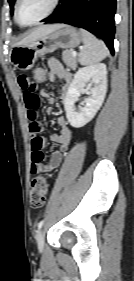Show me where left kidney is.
I'll return each instance as SVG.
<instances>
[{"instance_id":"left-kidney-1","label":"left kidney","mask_w":134,"mask_h":281,"mask_svg":"<svg viewBox=\"0 0 134 281\" xmlns=\"http://www.w3.org/2000/svg\"><path fill=\"white\" fill-rule=\"evenodd\" d=\"M88 83L87 94L83 107L75 106L83 87ZM107 91V71L104 63L93 64L80 68L68 87L64 99L66 117L72 127L80 128L90 122L103 104Z\"/></svg>"}]
</instances>
